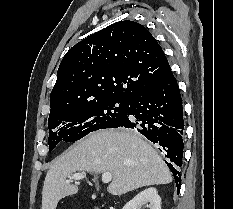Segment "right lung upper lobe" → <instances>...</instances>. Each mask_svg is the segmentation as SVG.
Wrapping results in <instances>:
<instances>
[{"instance_id": "cb5924a9", "label": "right lung upper lobe", "mask_w": 233, "mask_h": 209, "mask_svg": "<svg viewBox=\"0 0 233 209\" xmlns=\"http://www.w3.org/2000/svg\"><path fill=\"white\" fill-rule=\"evenodd\" d=\"M170 72L161 46L143 25L116 22L66 53L51 92L50 113L108 98L130 100Z\"/></svg>"}]
</instances>
